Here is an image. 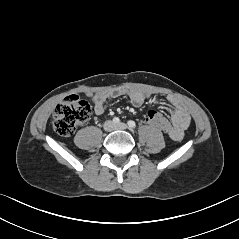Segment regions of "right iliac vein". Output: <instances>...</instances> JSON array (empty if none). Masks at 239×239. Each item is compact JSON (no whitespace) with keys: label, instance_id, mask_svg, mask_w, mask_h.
I'll return each mask as SVG.
<instances>
[{"label":"right iliac vein","instance_id":"right-iliac-vein-1","mask_svg":"<svg viewBox=\"0 0 239 239\" xmlns=\"http://www.w3.org/2000/svg\"><path fill=\"white\" fill-rule=\"evenodd\" d=\"M104 128L107 131H112L115 128V125L109 121V122L105 123Z\"/></svg>","mask_w":239,"mask_h":239}]
</instances>
